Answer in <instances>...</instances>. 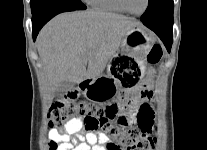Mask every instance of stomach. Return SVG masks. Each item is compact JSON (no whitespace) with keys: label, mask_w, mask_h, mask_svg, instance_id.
<instances>
[{"label":"stomach","mask_w":207,"mask_h":150,"mask_svg":"<svg viewBox=\"0 0 207 150\" xmlns=\"http://www.w3.org/2000/svg\"><path fill=\"white\" fill-rule=\"evenodd\" d=\"M154 39L141 26L131 28L124 35L120 52L115 53L108 64V74L92 79L84 94L95 101L115 98L122 87L139 86L148 75L146 55Z\"/></svg>","instance_id":"obj_1"}]
</instances>
